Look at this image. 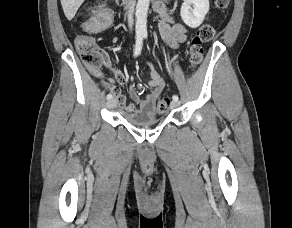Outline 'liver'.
Instances as JSON below:
<instances>
[{
	"mask_svg": "<svg viewBox=\"0 0 292 228\" xmlns=\"http://www.w3.org/2000/svg\"><path fill=\"white\" fill-rule=\"evenodd\" d=\"M85 0H60L64 14L70 21Z\"/></svg>",
	"mask_w": 292,
	"mask_h": 228,
	"instance_id": "1",
	"label": "liver"
}]
</instances>
